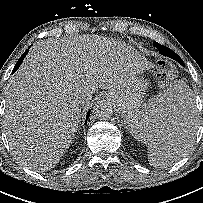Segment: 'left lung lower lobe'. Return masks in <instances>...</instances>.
<instances>
[{
  "instance_id": "left-lung-lower-lobe-1",
  "label": "left lung lower lobe",
  "mask_w": 203,
  "mask_h": 203,
  "mask_svg": "<svg viewBox=\"0 0 203 203\" xmlns=\"http://www.w3.org/2000/svg\"><path fill=\"white\" fill-rule=\"evenodd\" d=\"M158 50L160 51L161 54L178 60L175 53H173V51H171L169 48L159 47Z\"/></svg>"
}]
</instances>
